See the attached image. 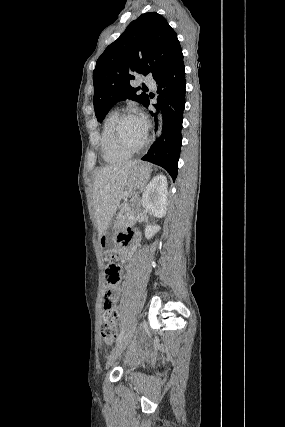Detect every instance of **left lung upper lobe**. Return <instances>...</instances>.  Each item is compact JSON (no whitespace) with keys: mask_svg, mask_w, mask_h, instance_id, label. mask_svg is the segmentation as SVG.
I'll return each instance as SVG.
<instances>
[{"mask_svg":"<svg viewBox=\"0 0 285 427\" xmlns=\"http://www.w3.org/2000/svg\"><path fill=\"white\" fill-rule=\"evenodd\" d=\"M177 34L166 19L156 13H144L132 21L120 37L98 58L93 71L95 115L99 122L118 101L132 99L149 103L140 88L131 86L135 74H151L157 80L181 52Z\"/></svg>","mask_w":285,"mask_h":427,"instance_id":"left-lung-upper-lobe-1","label":"left lung upper lobe"}]
</instances>
